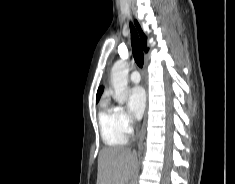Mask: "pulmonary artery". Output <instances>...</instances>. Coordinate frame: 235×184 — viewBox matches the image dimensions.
Returning <instances> with one entry per match:
<instances>
[{
	"label": "pulmonary artery",
	"instance_id": "obj_1",
	"mask_svg": "<svg viewBox=\"0 0 235 184\" xmlns=\"http://www.w3.org/2000/svg\"><path fill=\"white\" fill-rule=\"evenodd\" d=\"M129 79L133 84H138L141 81V75L139 72L134 71L130 74Z\"/></svg>",
	"mask_w": 235,
	"mask_h": 184
}]
</instances>
